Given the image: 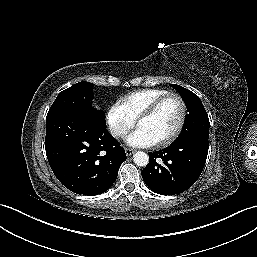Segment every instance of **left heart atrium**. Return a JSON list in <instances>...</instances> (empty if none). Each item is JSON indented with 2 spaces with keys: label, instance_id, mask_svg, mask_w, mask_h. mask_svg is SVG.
<instances>
[{
  "label": "left heart atrium",
  "instance_id": "left-heart-atrium-1",
  "mask_svg": "<svg viewBox=\"0 0 257 257\" xmlns=\"http://www.w3.org/2000/svg\"><path fill=\"white\" fill-rule=\"evenodd\" d=\"M126 142L133 147H151L156 144V141L140 127L127 136Z\"/></svg>",
  "mask_w": 257,
  "mask_h": 257
}]
</instances>
